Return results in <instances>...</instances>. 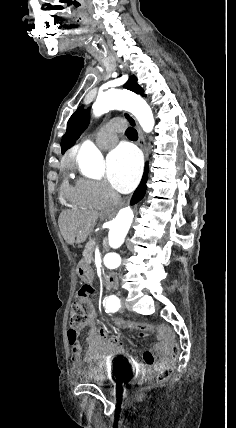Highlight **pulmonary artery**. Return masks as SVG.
<instances>
[{
	"instance_id": "obj_1",
	"label": "pulmonary artery",
	"mask_w": 236,
	"mask_h": 428,
	"mask_svg": "<svg viewBox=\"0 0 236 428\" xmlns=\"http://www.w3.org/2000/svg\"><path fill=\"white\" fill-rule=\"evenodd\" d=\"M113 135H114V138L117 139V136L115 134ZM114 146H115V143L114 144L107 143V142L99 143V147L101 149H110V148H113Z\"/></svg>"
}]
</instances>
